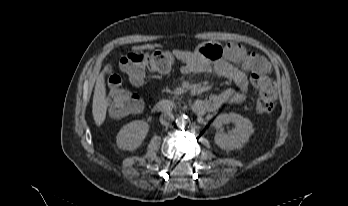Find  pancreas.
<instances>
[{"label":"pancreas","mask_w":348,"mask_h":206,"mask_svg":"<svg viewBox=\"0 0 348 206\" xmlns=\"http://www.w3.org/2000/svg\"><path fill=\"white\" fill-rule=\"evenodd\" d=\"M173 100H178V102L181 103L182 98L178 96V93H174Z\"/></svg>","instance_id":"obj_1"}]
</instances>
